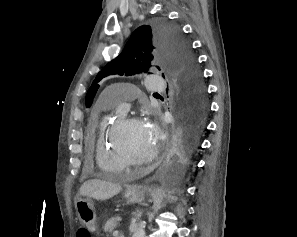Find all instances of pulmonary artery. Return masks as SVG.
Wrapping results in <instances>:
<instances>
[{
  "mask_svg": "<svg viewBox=\"0 0 297 237\" xmlns=\"http://www.w3.org/2000/svg\"><path fill=\"white\" fill-rule=\"evenodd\" d=\"M145 83L150 91H163L165 89V83L160 76H150L145 80ZM133 97V90L124 88L117 96L108 100V105H113L119 107L121 111H126Z\"/></svg>",
  "mask_w": 297,
  "mask_h": 237,
  "instance_id": "pulmonary-artery-1",
  "label": "pulmonary artery"
}]
</instances>
